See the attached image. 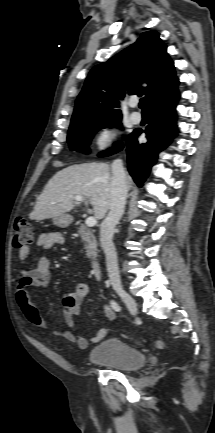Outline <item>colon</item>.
Listing matches in <instances>:
<instances>
[{"instance_id":"5ec220e1","label":"colon","mask_w":215,"mask_h":433,"mask_svg":"<svg viewBox=\"0 0 215 433\" xmlns=\"http://www.w3.org/2000/svg\"><path fill=\"white\" fill-rule=\"evenodd\" d=\"M33 227L26 217H17L14 222V239L13 245L15 248H22L28 245L33 240ZM156 348H162V342L154 343Z\"/></svg>"}]
</instances>
